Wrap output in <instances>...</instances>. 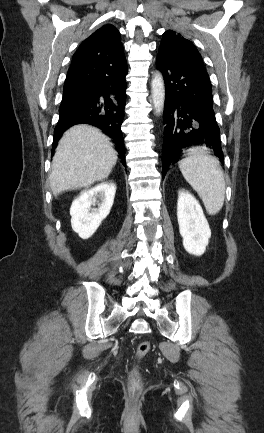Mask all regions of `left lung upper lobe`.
<instances>
[{
    "label": "left lung upper lobe",
    "mask_w": 264,
    "mask_h": 433,
    "mask_svg": "<svg viewBox=\"0 0 264 433\" xmlns=\"http://www.w3.org/2000/svg\"><path fill=\"white\" fill-rule=\"evenodd\" d=\"M158 55L164 56L182 66L205 70L202 57L194 44L172 30H168L163 34Z\"/></svg>",
    "instance_id": "obj_1"
}]
</instances>
